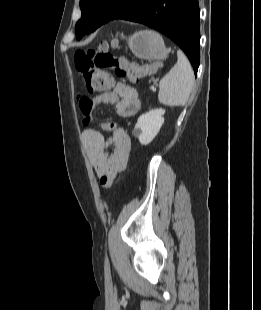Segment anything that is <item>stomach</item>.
Masks as SVG:
<instances>
[{
	"label": "stomach",
	"instance_id": "obj_1",
	"mask_svg": "<svg viewBox=\"0 0 261 310\" xmlns=\"http://www.w3.org/2000/svg\"><path fill=\"white\" fill-rule=\"evenodd\" d=\"M121 38L127 40L132 53L140 59L164 60L170 53L162 37L151 30L136 32L128 38L122 34Z\"/></svg>",
	"mask_w": 261,
	"mask_h": 310
}]
</instances>
